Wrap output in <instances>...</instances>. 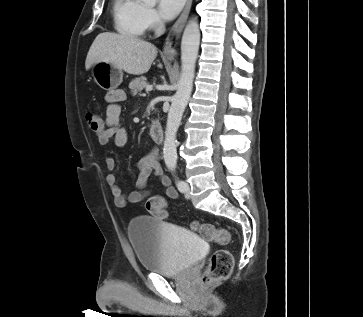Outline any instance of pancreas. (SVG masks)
<instances>
[{
    "label": "pancreas",
    "instance_id": "obj_1",
    "mask_svg": "<svg viewBox=\"0 0 363 317\" xmlns=\"http://www.w3.org/2000/svg\"><path fill=\"white\" fill-rule=\"evenodd\" d=\"M147 86V79L143 76L133 79L129 84L133 96L137 95L138 92H141Z\"/></svg>",
    "mask_w": 363,
    "mask_h": 317
}]
</instances>
